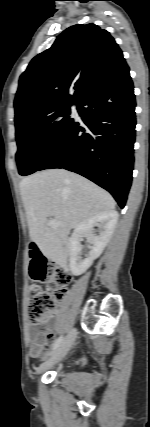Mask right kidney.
Segmentation results:
<instances>
[{
  "label": "right kidney",
  "mask_w": 150,
  "mask_h": 427,
  "mask_svg": "<svg viewBox=\"0 0 150 427\" xmlns=\"http://www.w3.org/2000/svg\"><path fill=\"white\" fill-rule=\"evenodd\" d=\"M118 213L115 210L104 212L79 223L69 239V267L73 275L83 274L103 252L117 224ZM99 234H94V226ZM86 236L92 244L91 250L82 258L80 237Z\"/></svg>",
  "instance_id": "1"
}]
</instances>
